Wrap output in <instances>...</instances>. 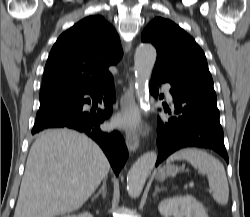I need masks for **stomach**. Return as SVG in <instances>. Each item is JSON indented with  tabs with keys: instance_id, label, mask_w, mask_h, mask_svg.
I'll return each mask as SVG.
<instances>
[{
	"instance_id": "stomach-1",
	"label": "stomach",
	"mask_w": 250,
	"mask_h": 217,
	"mask_svg": "<svg viewBox=\"0 0 250 217\" xmlns=\"http://www.w3.org/2000/svg\"><path fill=\"white\" fill-rule=\"evenodd\" d=\"M181 170H183V167L178 168L177 166H174V165H166V166L161 167L158 170V172L156 174V178L159 181H163L167 177L175 176Z\"/></svg>"
}]
</instances>
